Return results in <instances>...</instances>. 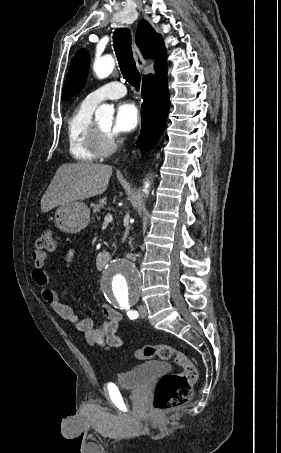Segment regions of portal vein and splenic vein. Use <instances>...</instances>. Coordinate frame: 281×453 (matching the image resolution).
<instances>
[{
	"instance_id": "1",
	"label": "portal vein and splenic vein",
	"mask_w": 281,
	"mask_h": 453,
	"mask_svg": "<svg viewBox=\"0 0 281 453\" xmlns=\"http://www.w3.org/2000/svg\"><path fill=\"white\" fill-rule=\"evenodd\" d=\"M105 222H111V220H113V216L112 214H106L105 218H104Z\"/></svg>"
}]
</instances>
